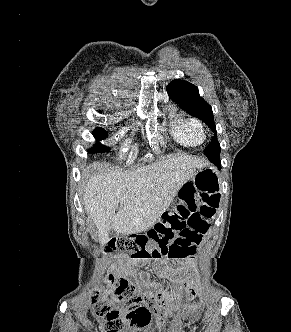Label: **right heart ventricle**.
<instances>
[{
	"label": "right heart ventricle",
	"mask_w": 291,
	"mask_h": 332,
	"mask_svg": "<svg viewBox=\"0 0 291 332\" xmlns=\"http://www.w3.org/2000/svg\"><path fill=\"white\" fill-rule=\"evenodd\" d=\"M169 116L170 133L179 144L193 147L204 141L203 128L197 119L183 115L174 107L170 108Z\"/></svg>",
	"instance_id": "e07e8e85"
}]
</instances>
